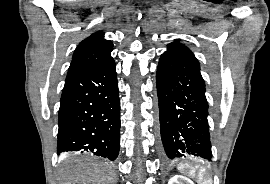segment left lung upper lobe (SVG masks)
Masks as SVG:
<instances>
[{
    "label": "left lung upper lobe",
    "instance_id": "obj_1",
    "mask_svg": "<svg viewBox=\"0 0 270 184\" xmlns=\"http://www.w3.org/2000/svg\"><path fill=\"white\" fill-rule=\"evenodd\" d=\"M167 48L168 50L166 52H172L186 58L200 70L199 62L192 51L187 46L180 43L179 39H176L174 42L168 44Z\"/></svg>",
    "mask_w": 270,
    "mask_h": 184
}]
</instances>
